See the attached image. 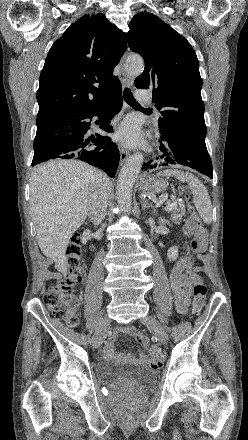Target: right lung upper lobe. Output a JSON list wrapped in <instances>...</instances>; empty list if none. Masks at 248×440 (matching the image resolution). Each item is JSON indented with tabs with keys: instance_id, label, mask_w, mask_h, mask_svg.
<instances>
[{
	"instance_id": "cb5924a9",
	"label": "right lung upper lobe",
	"mask_w": 248,
	"mask_h": 440,
	"mask_svg": "<svg viewBox=\"0 0 248 440\" xmlns=\"http://www.w3.org/2000/svg\"><path fill=\"white\" fill-rule=\"evenodd\" d=\"M126 44V34L104 14L84 15L70 25L53 43L40 75L37 125L105 101L120 84L113 69Z\"/></svg>"
}]
</instances>
